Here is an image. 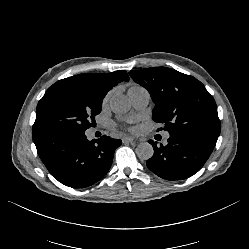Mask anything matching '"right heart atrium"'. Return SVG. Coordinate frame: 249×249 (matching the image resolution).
<instances>
[{"label":"right heart atrium","mask_w":249,"mask_h":249,"mask_svg":"<svg viewBox=\"0 0 249 249\" xmlns=\"http://www.w3.org/2000/svg\"><path fill=\"white\" fill-rule=\"evenodd\" d=\"M113 93H114V89H111V90H109V91L105 94V96L103 97V101H102L103 105L108 104V102H109L111 96L113 95Z\"/></svg>","instance_id":"d8ad5b80"}]
</instances>
